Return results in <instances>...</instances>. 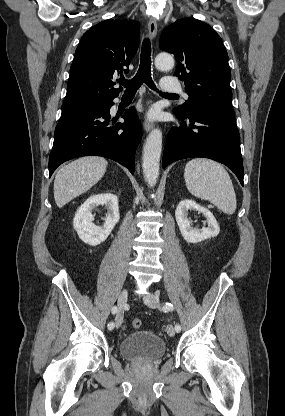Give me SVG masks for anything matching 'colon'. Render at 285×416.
I'll return each instance as SVG.
<instances>
[{"mask_svg": "<svg viewBox=\"0 0 285 416\" xmlns=\"http://www.w3.org/2000/svg\"><path fill=\"white\" fill-rule=\"evenodd\" d=\"M141 320L140 319H134V320H132V322H131V325H132V327L134 328V329H138V328H140L141 327Z\"/></svg>", "mask_w": 285, "mask_h": 416, "instance_id": "5ec220e1", "label": "colon"}]
</instances>
